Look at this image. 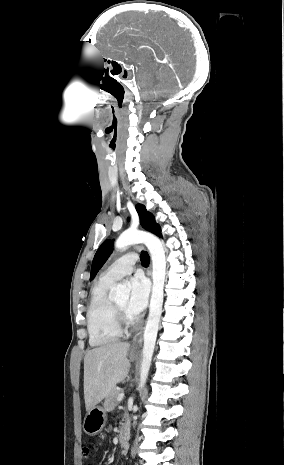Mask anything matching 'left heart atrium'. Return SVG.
I'll use <instances>...</instances> for the list:
<instances>
[{"mask_svg":"<svg viewBox=\"0 0 284 465\" xmlns=\"http://www.w3.org/2000/svg\"><path fill=\"white\" fill-rule=\"evenodd\" d=\"M130 297L127 305L129 314L136 318L146 308L149 298V286L145 278L135 276L130 279Z\"/></svg>","mask_w":284,"mask_h":465,"instance_id":"left-heart-atrium-1","label":"left heart atrium"}]
</instances>
